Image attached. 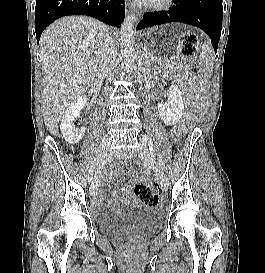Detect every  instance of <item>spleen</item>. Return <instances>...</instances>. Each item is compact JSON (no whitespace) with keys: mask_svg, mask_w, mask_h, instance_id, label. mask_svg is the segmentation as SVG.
Masks as SVG:
<instances>
[{"mask_svg":"<svg viewBox=\"0 0 265 273\" xmlns=\"http://www.w3.org/2000/svg\"><path fill=\"white\" fill-rule=\"evenodd\" d=\"M200 65L202 66L203 72L206 76L212 75L213 68V53L209 45H202V52L200 54Z\"/></svg>","mask_w":265,"mask_h":273,"instance_id":"3e777b00","label":"spleen"}]
</instances>
